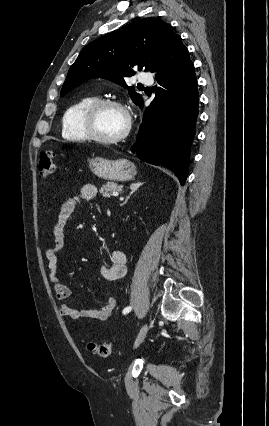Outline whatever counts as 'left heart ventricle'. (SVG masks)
<instances>
[{
  "label": "left heart ventricle",
  "mask_w": 269,
  "mask_h": 426,
  "mask_svg": "<svg viewBox=\"0 0 269 426\" xmlns=\"http://www.w3.org/2000/svg\"><path fill=\"white\" fill-rule=\"evenodd\" d=\"M126 126V117L122 110L113 106L101 108L94 121L95 131L105 138L119 135Z\"/></svg>",
  "instance_id": "1"
}]
</instances>
